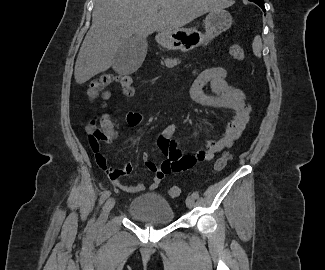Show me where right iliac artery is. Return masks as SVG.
Listing matches in <instances>:
<instances>
[{
	"instance_id": "1",
	"label": "right iliac artery",
	"mask_w": 325,
	"mask_h": 270,
	"mask_svg": "<svg viewBox=\"0 0 325 270\" xmlns=\"http://www.w3.org/2000/svg\"><path fill=\"white\" fill-rule=\"evenodd\" d=\"M111 192L110 191H105L101 197H100V200H99V206H101L103 204V202L110 196ZM95 220V218L93 217L90 221V223H93Z\"/></svg>"
}]
</instances>
